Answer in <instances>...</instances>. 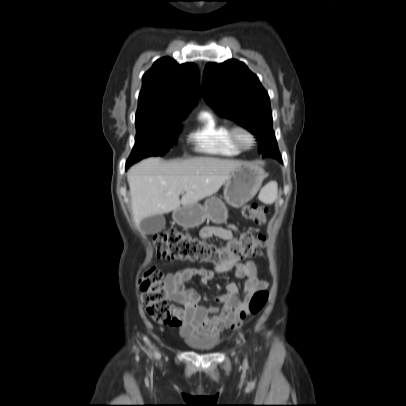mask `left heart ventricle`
<instances>
[{
	"mask_svg": "<svg viewBox=\"0 0 406 406\" xmlns=\"http://www.w3.org/2000/svg\"><path fill=\"white\" fill-rule=\"evenodd\" d=\"M241 140L243 143L248 144L250 142V138L248 137L247 134L241 133L240 134Z\"/></svg>",
	"mask_w": 406,
	"mask_h": 406,
	"instance_id": "obj_1",
	"label": "left heart ventricle"
}]
</instances>
